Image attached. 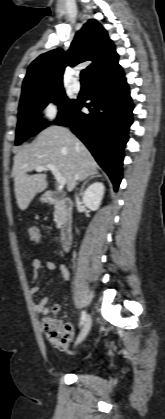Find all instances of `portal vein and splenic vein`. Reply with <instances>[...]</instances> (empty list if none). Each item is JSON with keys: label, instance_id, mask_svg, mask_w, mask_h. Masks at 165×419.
Instances as JSON below:
<instances>
[{"label": "portal vein and splenic vein", "instance_id": "obj_1", "mask_svg": "<svg viewBox=\"0 0 165 419\" xmlns=\"http://www.w3.org/2000/svg\"><path fill=\"white\" fill-rule=\"evenodd\" d=\"M45 169H49L52 172V174L54 175V177H55V179H56V181L59 185L64 186L66 184V178L61 175L59 170L54 165H52V164L38 165L35 168V170L37 172H41Z\"/></svg>", "mask_w": 165, "mask_h": 419}]
</instances>
